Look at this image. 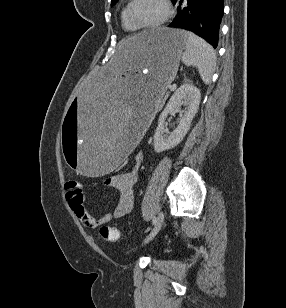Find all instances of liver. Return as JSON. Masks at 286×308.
Wrapping results in <instances>:
<instances>
[{
    "label": "liver",
    "mask_w": 286,
    "mask_h": 308,
    "mask_svg": "<svg viewBox=\"0 0 286 308\" xmlns=\"http://www.w3.org/2000/svg\"><path fill=\"white\" fill-rule=\"evenodd\" d=\"M148 34L149 31H145L122 40L118 45V48L114 56V60L120 57L128 56L134 50V48L140 43V41H142L148 36Z\"/></svg>",
    "instance_id": "1"
}]
</instances>
